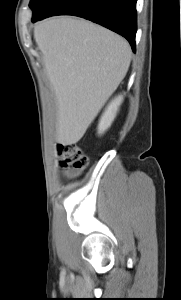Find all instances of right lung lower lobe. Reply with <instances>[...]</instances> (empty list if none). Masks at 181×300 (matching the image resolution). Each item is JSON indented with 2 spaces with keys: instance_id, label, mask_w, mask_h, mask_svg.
Masks as SVG:
<instances>
[{
  "instance_id": "right-lung-lower-lobe-1",
  "label": "right lung lower lobe",
  "mask_w": 181,
  "mask_h": 300,
  "mask_svg": "<svg viewBox=\"0 0 181 300\" xmlns=\"http://www.w3.org/2000/svg\"><path fill=\"white\" fill-rule=\"evenodd\" d=\"M54 15H74L125 37L135 51L136 0H57L32 22Z\"/></svg>"
}]
</instances>
